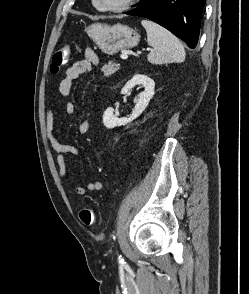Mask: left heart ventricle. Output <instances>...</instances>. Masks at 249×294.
<instances>
[{
    "label": "left heart ventricle",
    "mask_w": 249,
    "mask_h": 294,
    "mask_svg": "<svg viewBox=\"0 0 249 294\" xmlns=\"http://www.w3.org/2000/svg\"><path fill=\"white\" fill-rule=\"evenodd\" d=\"M101 5L104 6H117L121 4L124 0H98Z\"/></svg>",
    "instance_id": "obj_1"
}]
</instances>
